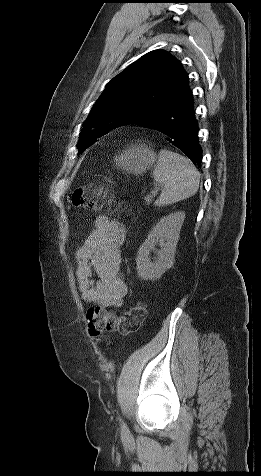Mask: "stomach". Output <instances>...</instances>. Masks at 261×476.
Wrapping results in <instances>:
<instances>
[{"label":"stomach","mask_w":261,"mask_h":476,"mask_svg":"<svg viewBox=\"0 0 261 476\" xmlns=\"http://www.w3.org/2000/svg\"><path fill=\"white\" fill-rule=\"evenodd\" d=\"M156 160V153L145 145H131L114 157L117 167L134 174L145 172Z\"/></svg>","instance_id":"stomach-1"}]
</instances>
